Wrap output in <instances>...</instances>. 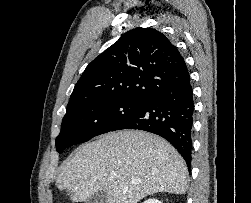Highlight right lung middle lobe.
<instances>
[{
	"label": "right lung middle lobe",
	"instance_id": "dd1d6c3e",
	"mask_svg": "<svg viewBox=\"0 0 251 203\" xmlns=\"http://www.w3.org/2000/svg\"><path fill=\"white\" fill-rule=\"evenodd\" d=\"M143 104L130 100H93L69 105L55 141L57 151L111 131Z\"/></svg>",
	"mask_w": 251,
	"mask_h": 203
}]
</instances>
